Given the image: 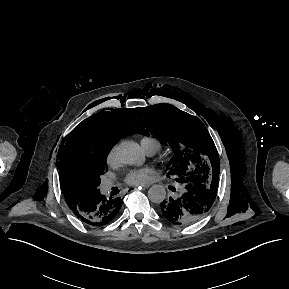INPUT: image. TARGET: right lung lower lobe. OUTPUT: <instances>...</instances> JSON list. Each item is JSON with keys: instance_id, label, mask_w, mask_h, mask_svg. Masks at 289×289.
<instances>
[{"instance_id": "98d812e1", "label": "right lung lower lobe", "mask_w": 289, "mask_h": 289, "mask_svg": "<svg viewBox=\"0 0 289 289\" xmlns=\"http://www.w3.org/2000/svg\"><path fill=\"white\" fill-rule=\"evenodd\" d=\"M122 206L120 197H105L100 190L91 192L80 203L69 206L74 214L86 224L102 226L109 223Z\"/></svg>"}]
</instances>
